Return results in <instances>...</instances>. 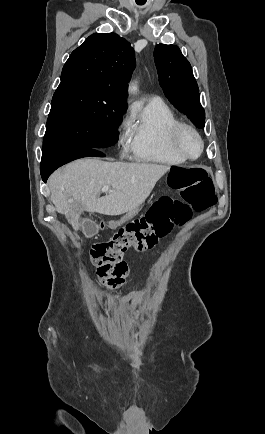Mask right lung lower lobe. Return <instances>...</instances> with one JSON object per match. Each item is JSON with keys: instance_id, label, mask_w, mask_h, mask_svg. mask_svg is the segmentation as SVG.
<instances>
[{"instance_id": "98d812e1", "label": "right lung lower lobe", "mask_w": 265, "mask_h": 434, "mask_svg": "<svg viewBox=\"0 0 265 434\" xmlns=\"http://www.w3.org/2000/svg\"><path fill=\"white\" fill-rule=\"evenodd\" d=\"M104 157L105 155L98 149H81V150H54L43 153L41 161V176L44 182L58 167L83 157Z\"/></svg>"}]
</instances>
